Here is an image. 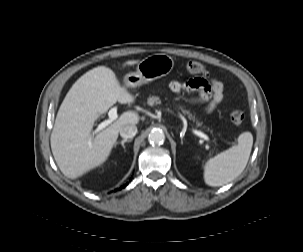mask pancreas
Returning a JSON list of instances; mask_svg holds the SVG:
<instances>
[{"label":"pancreas","instance_id":"pancreas-1","mask_svg":"<svg viewBox=\"0 0 303 252\" xmlns=\"http://www.w3.org/2000/svg\"><path fill=\"white\" fill-rule=\"evenodd\" d=\"M147 104L150 105V106H153V105H155V104H161V100H160V98H159L158 96L152 95V96H149V97L147 98ZM180 109H181V111H182L184 114H186V115L188 116V118H189L190 120L195 121V118L192 116V114L189 113V111L184 110L182 107H180ZM197 124L200 125L198 122H197Z\"/></svg>","mask_w":303,"mask_h":252}]
</instances>
